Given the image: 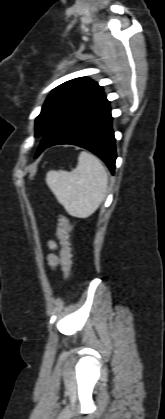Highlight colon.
Returning a JSON list of instances; mask_svg holds the SVG:
<instances>
[{"instance_id": "obj_1", "label": "colon", "mask_w": 165, "mask_h": 419, "mask_svg": "<svg viewBox=\"0 0 165 419\" xmlns=\"http://www.w3.org/2000/svg\"><path fill=\"white\" fill-rule=\"evenodd\" d=\"M71 224L69 219L64 215L58 216L57 224V237L59 239L60 248H61V258L64 268V281L66 282L72 272L73 268V256L71 249Z\"/></svg>"}]
</instances>
